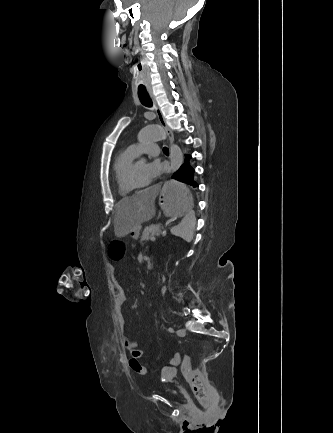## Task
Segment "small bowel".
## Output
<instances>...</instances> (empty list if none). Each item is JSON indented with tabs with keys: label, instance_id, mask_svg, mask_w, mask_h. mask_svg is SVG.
Returning <instances> with one entry per match:
<instances>
[{
	"label": "small bowel",
	"instance_id": "1",
	"mask_svg": "<svg viewBox=\"0 0 333 433\" xmlns=\"http://www.w3.org/2000/svg\"><path fill=\"white\" fill-rule=\"evenodd\" d=\"M162 290H164V287ZM113 301L116 309L118 310V323L122 328H124L126 322L122 313V306L126 301V294L122 284L118 280L113 281ZM122 344L127 350L130 351V359H135L139 362V359L143 355V350L138 347L137 342L131 340L127 335L124 334L122 337Z\"/></svg>",
	"mask_w": 333,
	"mask_h": 433
}]
</instances>
